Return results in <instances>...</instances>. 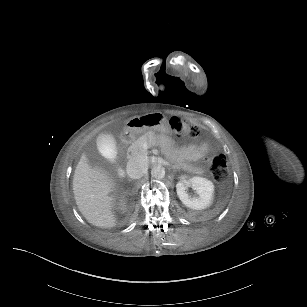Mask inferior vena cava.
I'll use <instances>...</instances> for the list:
<instances>
[{
  "mask_svg": "<svg viewBox=\"0 0 307 307\" xmlns=\"http://www.w3.org/2000/svg\"><path fill=\"white\" fill-rule=\"evenodd\" d=\"M126 172L132 179H140L147 172V167L140 158H132L128 161Z\"/></svg>",
  "mask_w": 307,
  "mask_h": 307,
  "instance_id": "1",
  "label": "inferior vena cava"
}]
</instances>
